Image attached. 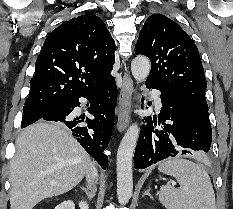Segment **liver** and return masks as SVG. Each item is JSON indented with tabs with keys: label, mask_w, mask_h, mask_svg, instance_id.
<instances>
[{
	"label": "liver",
	"mask_w": 233,
	"mask_h": 209,
	"mask_svg": "<svg viewBox=\"0 0 233 209\" xmlns=\"http://www.w3.org/2000/svg\"><path fill=\"white\" fill-rule=\"evenodd\" d=\"M10 163V209H32L70 191L91 168L88 154L61 124L39 122L16 139Z\"/></svg>",
	"instance_id": "obj_1"
}]
</instances>
